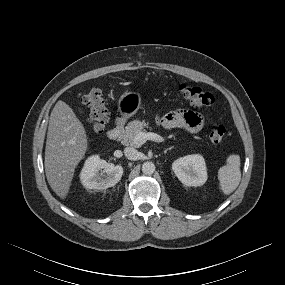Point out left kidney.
<instances>
[{
	"label": "left kidney",
	"mask_w": 285,
	"mask_h": 285,
	"mask_svg": "<svg viewBox=\"0 0 285 285\" xmlns=\"http://www.w3.org/2000/svg\"><path fill=\"white\" fill-rule=\"evenodd\" d=\"M172 170L186 186H201L207 181V169L203 156L187 155L175 160Z\"/></svg>",
	"instance_id": "5707ae66"
}]
</instances>
